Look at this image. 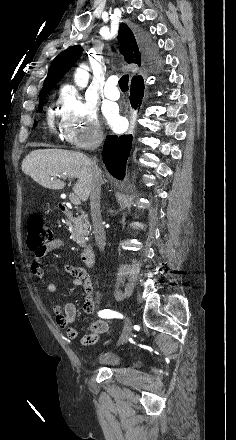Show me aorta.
Here are the masks:
<instances>
[{
    "mask_svg": "<svg viewBox=\"0 0 236 440\" xmlns=\"http://www.w3.org/2000/svg\"><path fill=\"white\" fill-rule=\"evenodd\" d=\"M80 68L85 69V70L88 69L87 66H85V65H81ZM88 79H89L88 74L81 69H78L74 75L75 83L79 87H82V88L87 85Z\"/></svg>",
    "mask_w": 236,
    "mask_h": 440,
    "instance_id": "762f6f07",
    "label": "aorta"
}]
</instances>
